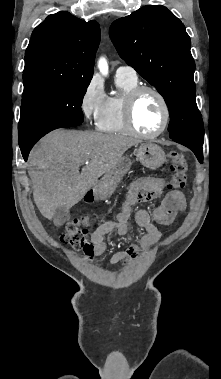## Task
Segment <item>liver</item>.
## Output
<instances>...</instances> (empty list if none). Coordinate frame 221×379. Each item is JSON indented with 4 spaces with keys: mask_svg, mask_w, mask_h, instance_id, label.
Listing matches in <instances>:
<instances>
[{
    "mask_svg": "<svg viewBox=\"0 0 221 379\" xmlns=\"http://www.w3.org/2000/svg\"><path fill=\"white\" fill-rule=\"evenodd\" d=\"M137 143L127 136L92 131L55 130L43 137L31 150L28 164L40 213L51 220L57 207L77 204Z\"/></svg>",
    "mask_w": 221,
    "mask_h": 379,
    "instance_id": "1",
    "label": "liver"
}]
</instances>
